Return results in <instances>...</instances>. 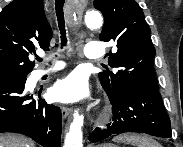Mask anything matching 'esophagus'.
<instances>
[{
  "instance_id": "esophagus-1",
  "label": "esophagus",
  "mask_w": 183,
  "mask_h": 147,
  "mask_svg": "<svg viewBox=\"0 0 183 147\" xmlns=\"http://www.w3.org/2000/svg\"><path fill=\"white\" fill-rule=\"evenodd\" d=\"M61 113L63 118H67L71 114V108L68 107H62Z\"/></svg>"
}]
</instances>
